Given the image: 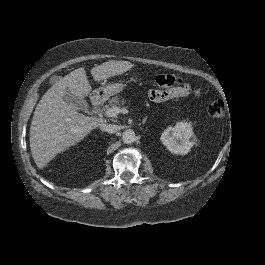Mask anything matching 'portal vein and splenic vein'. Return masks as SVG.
<instances>
[{"instance_id": "portal-vein-and-splenic-vein-1", "label": "portal vein and splenic vein", "mask_w": 265, "mask_h": 265, "mask_svg": "<svg viewBox=\"0 0 265 265\" xmlns=\"http://www.w3.org/2000/svg\"><path fill=\"white\" fill-rule=\"evenodd\" d=\"M119 113H127V110L125 108H120V107H113L109 112H107L106 114L108 116H115Z\"/></svg>"}]
</instances>
